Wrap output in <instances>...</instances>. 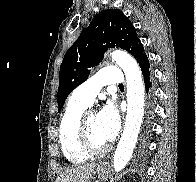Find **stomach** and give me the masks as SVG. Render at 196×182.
Returning a JSON list of instances; mask_svg holds the SVG:
<instances>
[{"instance_id": "obj_1", "label": "stomach", "mask_w": 196, "mask_h": 182, "mask_svg": "<svg viewBox=\"0 0 196 182\" xmlns=\"http://www.w3.org/2000/svg\"><path fill=\"white\" fill-rule=\"evenodd\" d=\"M95 173L98 177L105 179L107 177V168L104 165H98Z\"/></svg>"}]
</instances>
